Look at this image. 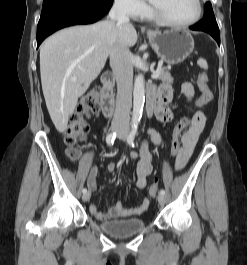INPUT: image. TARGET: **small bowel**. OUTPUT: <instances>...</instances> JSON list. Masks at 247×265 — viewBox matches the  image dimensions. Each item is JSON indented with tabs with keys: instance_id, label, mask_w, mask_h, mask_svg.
Segmentation results:
<instances>
[{
	"instance_id": "small-bowel-1",
	"label": "small bowel",
	"mask_w": 247,
	"mask_h": 265,
	"mask_svg": "<svg viewBox=\"0 0 247 265\" xmlns=\"http://www.w3.org/2000/svg\"><path fill=\"white\" fill-rule=\"evenodd\" d=\"M181 93L184 95L188 102H191L195 96V89L192 83L185 82L181 86ZM173 89L169 84H162L155 92L154 115L156 119L162 123H170L174 119L173 111L168 107L172 101ZM206 123V116L204 112L198 111L191 118L188 130L181 136V148L178 158L176 160V169H182L190 159L193 150L196 146L198 138L204 129ZM149 138L151 142L156 145H161L163 139L160 134L154 130L149 131ZM132 159H138L136 164V178L135 184L139 189L147 187L148 177L153 171V158L148 149V142H144L138 152L131 154ZM117 169L116 164L112 163L108 166L110 172H115ZM98 169L93 166L90 170L88 178V187L90 190L96 188V177ZM150 206L149 199L142 200L139 206L134 208H125L121 201L112 202L107 211H100L95 204L90 205V213L98 221H106L113 218H124L145 212Z\"/></svg>"
}]
</instances>
